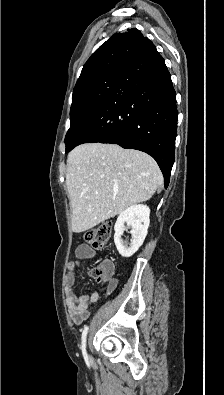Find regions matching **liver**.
<instances>
[{
  "mask_svg": "<svg viewBox=\"0 0 224 395\" xmlns=\"http://www.w3.org/2000/svg\"><path fill=\"white\" fill-rule=\"evenodd\" d=\"M72 230L80 233L149 200L163 183L156 161L115 144L87 143L68 155Z\"/></svg>",
  "mask_w": 224,
  "mask_h": 395,
  "instance_id": "liver-1",
  "label": "liver"
}]
</instances>
